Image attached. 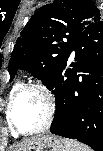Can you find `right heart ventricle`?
<instances>
[{
	"mask_svg": "<svg viewBox=\"0 0 103 151\" xmlns=\"http://www.w3.org/2000/svg\"><path fill=\"white\" fill-rule=\"evenodd\" d=\"M20 87V84L19 83H16L13 88L11 89L9 95H8V103H9V100L10 98L12 97V95L14 94V92ZM7 107H8V104H7ZM6 116H7V110H6ZM8 119V118H7ZM11 133L14 137H18V134L13 130L11 129Z\"/></svg>",
	"mask_w": 103,
	"mask_h": 151,
	"instance_id": "obj_1",
	"label": "right heart ventricle"
}]
</instances>
